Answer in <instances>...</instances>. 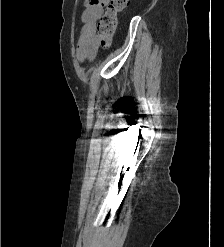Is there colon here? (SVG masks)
I'll list each match as a JSON object with an SVG mask.
<instances>
[{"mask_svg":"<svg viewBox=\"0 0 224 247\" xmlns=\"http://www.w3.org/2000/svg\"><path fill=\"white\" fill-rule=\"evenodd\" d=\"M129 0H110L105 13L97 24L98 43L103 48L111 45L117 28L119 14L127 7Z\"/></svg>","mask_w":224,"mask_h":247,"instance_id":"1","label":"colon"}]
</instances>
